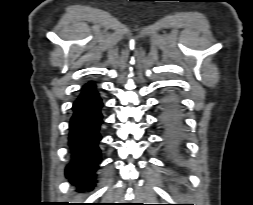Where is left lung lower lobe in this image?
Segmentation results:
<instances>
[{"mask_svg": "<svg viewBox=\"0 0 253 205\" xmlns=\"http://www.w3.org/2000/svg\"><path fill=\"white\" fill-rule=\"evenodd\" d=\"M162 123L168 129L172 145H176L177 135L180 129V119L172 98H167L163 104Z\"/></svg>", "mask_w": 253, "mask_h": 205, "instance_id": "1", "label": "left lung lower lobe"}]
</instances>
